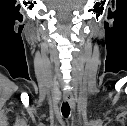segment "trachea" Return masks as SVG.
<instances>
[{
  "mask_svg": "<svg viewBox=\"0 0 127 126\" xmlns=\"http://www.w3.org/2000/svg\"><path fill=\"white\" fill-rule=\"evenodd\" d=\"M61 111H62V115L65 118H67L69 116V114H70V106H69L68 102H63Z\"/></svg>",
  "mask_w": 127,
  "mask_h": 126,
  "instance_id": "3493384b",
  "label": "trachea"
}]
</instances>
